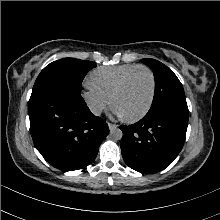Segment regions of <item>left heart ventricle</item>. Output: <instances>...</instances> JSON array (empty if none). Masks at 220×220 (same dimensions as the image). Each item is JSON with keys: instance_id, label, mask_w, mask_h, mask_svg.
<instances>
[{"instance_id": "obj_1", "label": "left heart ventricle", "mask_w": 220, "mask_h": 220, "mask_svg": "<svg viewBox=\"0 0 220 220\" xmlns=\"http://www.w3.org/2000/svg\"><path fill=\"white\" fill-rule=\"evenodd\" d=\"M152 89L150 75L140 69L135 71L125 88L115 100L117 108L123 117H133L141 113L148 104Z\"/></svg>"}]
</instances>
